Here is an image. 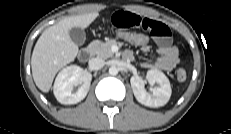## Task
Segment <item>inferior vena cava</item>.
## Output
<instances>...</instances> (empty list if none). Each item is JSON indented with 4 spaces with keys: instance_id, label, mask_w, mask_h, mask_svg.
I'll list each match as a JSON object with an SVG mask.
<instances>
[{
    "instance_id": "1",
    "label": "inferior vena cava",
    "mask_w": 231,
    "mask_h": 134,
    "mask_svg": "<svg viewBox=\"0 0 231 134\" xmlns=\"http://www.w3.org/2000/svg\"><path fill=\"white\" fill-rule=\"evenodd\" d=\"M105 65V61L102 58H91L89 60V67L92 70H98L101 69Z\"/></svg>"
}]
</instances>
